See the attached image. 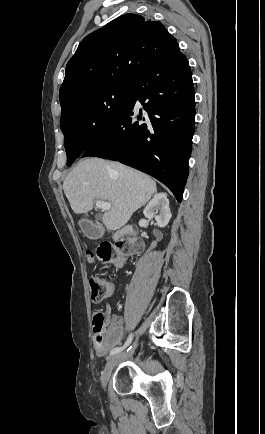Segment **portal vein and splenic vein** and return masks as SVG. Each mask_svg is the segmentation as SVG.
Listing matches in <instances>:
<instances>
[{
  "mask_svg": "<svg viewBox=\"0 0 265 434\" xmlns=\"http://www.w3.org/2000/svg\"><path fill=\"white\" fill-rule=\"evenodd\" d=\"M96 208H99V210H102V212H106V210H110L111 204L110 202H103V200H97Z\"/></svg>",
  "mask_w": 265,
  "mask_h": 434,
  "instance_id": "portal-vein-and-splenic-vein-1",
  "label": "portal vein and splenic vein"
}]
</instances>
